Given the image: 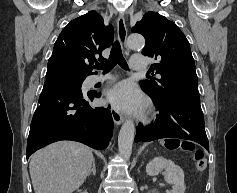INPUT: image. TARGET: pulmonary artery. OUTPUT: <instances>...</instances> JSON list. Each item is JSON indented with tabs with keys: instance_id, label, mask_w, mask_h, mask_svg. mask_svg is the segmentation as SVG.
<instances>
[{
	"instance_id": "e3ab8cb5",
	"label": "pulmonary artery",
	"mask_w": 237,
	"mask_h": 193,
	"mask_svg": "<svg viewBox=\"0 0 237 193\" xmlns=\"http://www.w3.org/2000/svg\"><path fill=\"white\" fill-rule=\"evenodd\" d=\"M147 66V62L146 59L144 57L141 56H132L130 58V67L133 70H137V71H142L145 70ZM112 77L109 75L106 76H93L91 78V83L92 84H96L98 82H102V81H106L111 79Z\"/></svg>"
}]
</instances>
